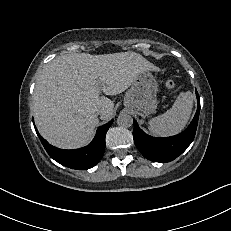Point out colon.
<instances>
[{"label":"colon","instance_id":"colon-1","mask_svg":"<svg viewBox=\"0 0 231 231\" xmlns=\"http://www.w3.org/2000/svg\"><path fill=\"white\" fill-rule=\"evenodd\" d=\"M174 86H175V82H174L172 79H168V80L166 81V87H167L168 89H172V88H174Z\"/></svg>","mask_w":231,"mask_h":231}]
</instances>
